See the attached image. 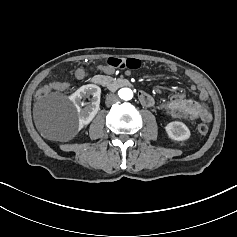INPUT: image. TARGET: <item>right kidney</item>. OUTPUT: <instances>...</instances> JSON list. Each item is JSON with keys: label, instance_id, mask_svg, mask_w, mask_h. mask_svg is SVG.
I'll use <instances>...</instances> for the list:
<instances>
[{"label": "right kidney", "instance_id": "right-kidney-1", "mask_svg": "<svg viewBox=\"0 0 237 237\" xmlns=\"http://www.w3.org/2000/svg\"><path fill=\"white\" fill-rule=\"evenodd\" d=\"M100 95L101 89L97 85L87 84L81 86L75 93L69 96L77 108L78 116V131L89 125L100 110ZM91 97L92 102L86 103L83 109L80 105L83 104L82 98Z\"/></svg>", "mask_w": 237, "mask_h": 237}]
</instances>
